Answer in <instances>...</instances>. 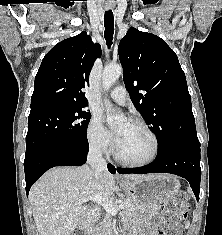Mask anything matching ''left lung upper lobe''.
<instances>
[{
    "instance_id": "obj_1",
    "label": "left lung upper lobe",
    "mask_w": 222,
    "mask_h": 235,
    "mask_svg": "<svg viewBox=\"0 0 222 235\" xmlns=\"http://www.w3.org/2000/svg\"><path fill=\"white\" fill-rule=\"evenodd\" d=\"M130 98L155 133L158 151L173 144L200 145L185 73L160 37L131 27L118 47Z\"/></svg>"
}]
</instances>
